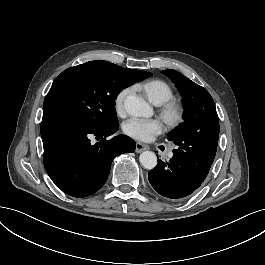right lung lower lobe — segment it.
Segmentation results:
<instances>
[{
    "label": "right lung lower lobe",
    "instance_id": "98d812e1",
    "mask_svg": "<svg viewBox=\"0 0 265 265\" xmlns=\"http://www.w3.org/2000/svg\"><path fill=\"white\" fill-rule=\"evenodd\" d=\"M117 130L118 125L95 129L62 113L43 112L40 131L44 166L55 185L79 198L98 191L109 175L114 157L135 150L134 140L125 135L103 139ZM93 136L100 141L94 144L90 140Z\"/></svg>",
    "mask_w": 265,
    "mask_h": 265
}]
</instances>
